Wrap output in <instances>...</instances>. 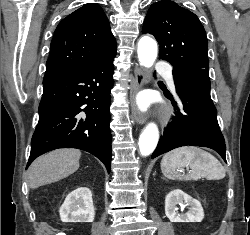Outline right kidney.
Listing matches in <instances>:
<instances>
[{"mask_svg":"<svg viewBox=\"0 0 250 235\" xmlns=\"http://www.w3.org/2000/svg\"><path fill=\"white\" fill-rule=\"evenodd\" d=\"M63 222H93L95 209L92 192L87 187H79L67 195L60 210Z\"/></svg>","mask_w":250,"mask_h":235,"instance_id":"right-kidney-1","label":"right kidney"}]
</instances>
